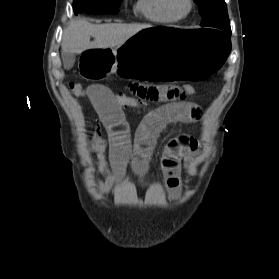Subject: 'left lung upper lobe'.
I'll list each match as a JSON object with an SVG mask.
<instances>
[{"instance_id":"obj_1","label":"left lung upper lobe","mask_w":279,"mask_h":279,"mask_svg":"<svg viewBox=\"0 0 279 279\" xmlns=\"http://www.w3.org/2000/svg\"><path fill=\"white\" fill-rule=\"evenodd\" d=\"M199 5L201 26L229 32L230 22L224 0H194Z\"/></svg>"}]
</instances>
